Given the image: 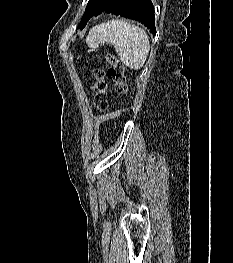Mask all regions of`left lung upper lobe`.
Here are the masks:
<instances>
[{"mask_svg": "<svg viewBox=\"0 0 233 263\" xmlns=\"http://www.w3.org/2000/svg\"><path fill=\"white\" fill-rule=\"evenodd\" d=\"M115 1L116 0H89L78 28H83L92 16L98 15L105 11Z\"/></svg>", "mask_w": 233, "mask_h": 263, "instance_id": "1", "label": "left lung upper lobe"}]
</instances>
